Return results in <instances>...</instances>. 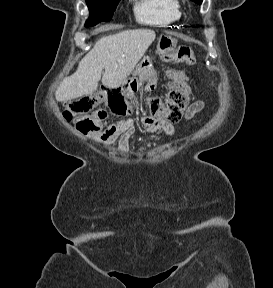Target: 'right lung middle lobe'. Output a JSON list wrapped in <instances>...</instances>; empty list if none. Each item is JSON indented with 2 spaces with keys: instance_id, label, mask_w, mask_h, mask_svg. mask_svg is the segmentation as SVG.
Listing matches in <instances>:
<instances>
[{
  "instance_id": "dd1d6c3e",
  "label": "right lung middle lobe",
  "mask_w": 273,
  "mask_h": 288,
  "mask_svg": "<svg viewBox=\"0 0 273 288\" xmlns=\"http://www.w3.org/2000/svg\"><path fill=\"white\" fill-rule=\"evenodd\" d=\"M120 0H86L90 17L85 26H93L97 23L111 20Z\"/></svg>"
}]
</instances>
